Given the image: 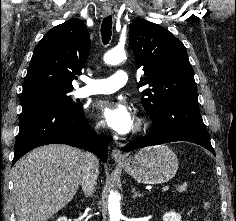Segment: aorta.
Instances as JSON below:
<instances>
[{
    "label": "aorta",
    "instance_id": "762f6f07",
    "mask_svg": "<svg viewBox=\"0 0 236 221\" xmlns=\"http://www.w3.org/2000/svg\"><path fill=\"white\" fill-rule=\"evenodd\" d=\"M126 58L125 51L123 49H112L104 55V62L108 65H117ZM108 211L110 215V221H120L121 209L120 199L116 192L110 191L108 198Z\"/></svg>",
    "mask_w": 236,
    "mask_h": 221
}]
</instances>
